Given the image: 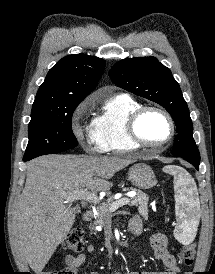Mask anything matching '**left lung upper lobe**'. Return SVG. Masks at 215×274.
Segmentation results:
<instances>
[{"mask_svg": "<svg viewBox=\"0 0 215 274\" xmlns=\"http://www.w3.org/2000/svg\"><path fill=\"white\" fill-rule=\"evenodd\" d=\"M109 76L120 88L158 103L170 113L178 133L172 149L174 156L200 160L187 103L167 67L155 57L127 58L117 62Z\"/></svg>", "mask_w": 215, "mask_h": 274, "instance_id": "obj_1", "label": "left lung upper lobe"}]
</instances>
